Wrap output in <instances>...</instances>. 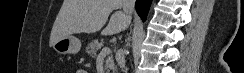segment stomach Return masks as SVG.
I'll return each mask as SVG.
<instances>
[{
	"label": "stomach",
	"mask_w": 244,
	"mask_h": 73,
	"mask_svg": "<svg viewBox=\"0 0 244 73\" xmlns=\"http://www.w3.org/2000/svg\"><path fill=\"white\" fill-rule=\"evenodd\" d=\"M52 47L58 54H76L81 49V41L69 35L56 41Z\"/></svg>",
	"instance_id": "stomach-1"
}]
</instances>
